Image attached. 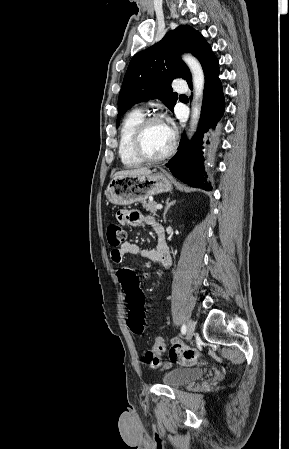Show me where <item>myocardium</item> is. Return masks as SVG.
I'll use <instances>...</instances> for the list:
<instances>
[{"label":"myocardium","mask_w":289,"mask_h":449,"mask_svg":"<svg viewBox=\"0 0 289 449\" xmlns=\"http://www.w3.org/2000/svg\"><path fill=\"white\" fill-rule=\"evenodd\" d=\"M155 122H163L165 123L172 132V142L169 149L162 155L157 157L149 156L143 147V136L147 128ZM133 150L135 155L143 162L155 163L166 160L175 152L177 147V132L176 130L168 123L167 119L161 114H153L148 117H145L140 124L137 126L134 135H133Z\"/></svg>","instance_id":"obj_1"}]
</instances>
